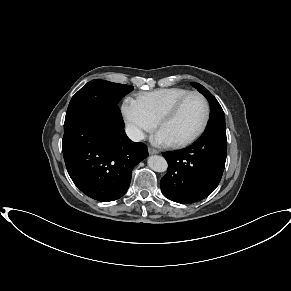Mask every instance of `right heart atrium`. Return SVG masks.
<instances>
[{"mask_svg":"<svg viewBox=\"0 0 291 291\" xmlns=\"http://www.w3.org/2000/svg\"><path fill=\"white\" fill-rule=\"evenodd\" d=\"M121 110L128 133L134 140H141L146 132L156 127V121L148 115L138 99L125 98Z\"/></svg>","mask_w":291,"mask_h":291,"instance_id":"right-heart-atrium-1","label":"right heart atrium"}]
</instances>
